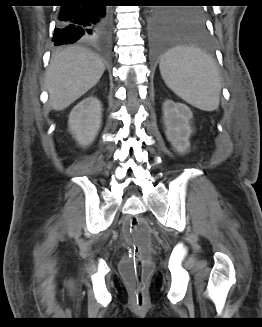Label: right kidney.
Returning a JSON list of instances; mask_svg holds the SVG:
<instances>
[{"mask_svg": "<svg viewBox=\"0 0 262 327\" xmlns=\"http://www.w3.org/2000/svg\"><path fill=\"white\" fill-rule=\"evenodd\" d=\"M102 106L96 97H87L70 112L68 126L79 145H90L96 138L102 122Z\"/></svg>", "mask_w": 262, "mask_h": 327, "instance_id": "obj_1", "label": "right kidney"}]
</instances>
